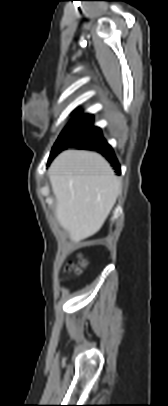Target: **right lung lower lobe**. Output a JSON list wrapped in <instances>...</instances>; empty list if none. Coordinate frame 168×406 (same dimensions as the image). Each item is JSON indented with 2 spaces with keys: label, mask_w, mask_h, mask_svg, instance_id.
<instances>
[{
  "label": "right lung lower lobe",
  "mask_w": 168,
  "mask_h": 406,
  "mask_svg": "<svg viewBox=\"0 0 168 406\" xmlns=\"http://www.w3.org/2000/svg\"><path fill=\"white\" fill-rule=\"evenodd\" d=\"M66 148H80V149H86V150H92V151H97L103 156L106 157L108 161L111 162V164L115 167L118 173H120V165L114 155L113 149L111 148L110 145L107 144L105 139L102 136L101 131L91 135L84 140H81L79 142H76L74 144L69 145ZM64 148L63 150H65ZM62 151V150H61ZM53 159H49L48 163Z\"/></svg>",
  "instance_id": "right-lung-lower-lobe-1"
}]
</instances>
